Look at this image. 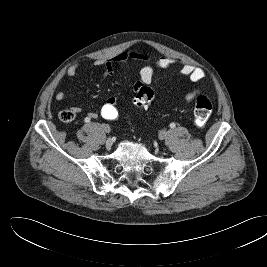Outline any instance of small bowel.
Listing matches in <instances>:
<instances>
[{
	"label": "small bowel",
	"instance_id": "c3829d8e",
	"mask_svg": "<svg viewBox=\"0 0 267 267\" xmlns=\"http://www.w3.org/2000/svg\"><path fill=\"white\" fill-rule=\"evenodd\" d=\"M128 59H138V60H145L147 57L144 54L138 53V52H130V53H120L117 56L103 62L98 61L96 65L102 69L103 76H111L113 75L115 68L117 64L127 61ZM173 63V60L170 57H161L154 62L145 65L141 68L139 72V80L135 84V90H137L142 85L150 84L153 75L156 70H165L168 69L171 64ZM77 73V65H72L67 70V75L69 77H74ZM180 74L186 78H188L191 82H198L204 77V71L193 65H185L181 68ZM199 94V90H193L190 93L186 95V100L190 101L194 99ZM66 97L65 93L62 91H59L55 94V99L57 101H62ZM110 99L115 100L118 102V97L112 96ZM74 109L76 111L80 110L79 106H75ZM89 116L92 118H95L97 114L95 112H90Z\"/></svg>",
	"mask_w": 267,
	"mask_h": 267
}]
</instances>
